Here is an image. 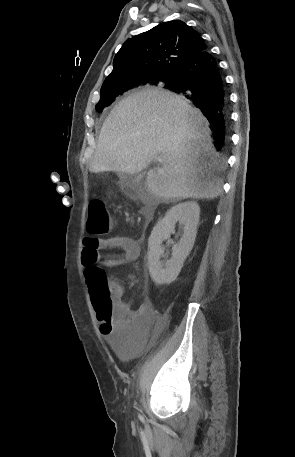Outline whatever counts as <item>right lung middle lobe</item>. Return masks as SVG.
<instances>
[{"mask_svg":"<svg viewBox=\"0 0 295 457\" xmlns=\"http://www.w3.org/2000/svg\"><path fill=\"white\" fill-rule=\"evenodd\" d=\"M174 78H175V76L158 78V79L151 80L150 83H145V84L160 85V86L166 88L174 81ZM145 84H143V85H145ZM126 88H127V86L113 88V89H106V90L101 91L100 101L95 106L96 110L98 112H101L105 107L109 106L112 102H114L115 99L119 95H122L123 93H125Z\"/></svg>","mask_w":295,"mask_h":457,"instance_id":"1","label":"right lung middle lobe"}]
</instances>
